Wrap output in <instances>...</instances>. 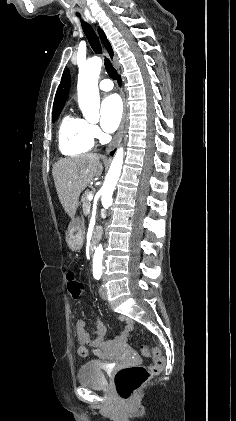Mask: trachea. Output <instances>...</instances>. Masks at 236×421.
Returning a JSON list of instances; mask_svg holds the SVG:
<instances>
[{
  "mask_svg": "<svg viewBox=\"0 0 236 421\" xmlns=\"http://www.w3.org/2000/svg\"><path fill=\"white\" fill-rule=\"evenodd\" d=\"M78 18L81 21L83 31L85 33V36H86L92 50L97 54H102V48H101L99 38L97 37V34L95 33V31L93 30L91 25H89L87 22H85L82 19L81 16H78ZM104 65H105V69H106L109 77L112 78L113 80H117V78H118L117 71L113 67L110 60H108V58H105Z\"/></svg>",
  "mask_w": 236,
  "mask_h": 421,
  "instance_id": "trachea-1",
  "label": "trachea"
}]
</instances>
